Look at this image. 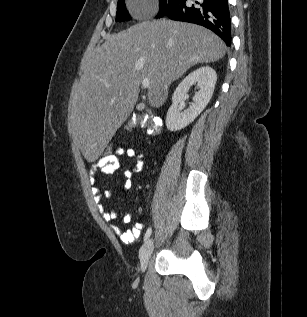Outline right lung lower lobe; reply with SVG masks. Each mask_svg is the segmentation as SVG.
Returning a JSON list of instances; mask_svg holds the SVG:
<instances>
[{
	"instance_id": "1",
	"label": "right lung lower lobe",
	"mask_w": 307,
	"mask_h": 317,
	"mask_svg": "<svg viewBox=\"0 0 307 317\" xmlns=\"http://www.w3.org/2000/svg\"><path fill=\"white\" fill-rule=\"evenodd\" d=\"M163 16L202 25L221 37L227 46L231 45V23L227 0H200L192 6H187L186 0H175L172 6L158 18Z\"/></svg>"
}]
</instances>
